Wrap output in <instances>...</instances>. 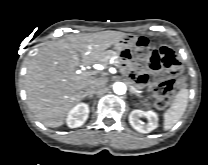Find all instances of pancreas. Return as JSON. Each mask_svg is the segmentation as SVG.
<instances>
[{
	"label": "pancreas",
	"instance_id": "cf45deb5",
	"mask_svg": "<svg viewBox=\"0 0 208 165\" xmlns=\"http://www.w3.org/2000/svg\"><path fill=\"white\" fill-rule=\"evenodd\" d=\"M113 58V62L114 64H121L122 63V59L119 56V54L113 50H108L106 52H104V56L101 59V63L106 66L109 64V62L112 60Z\"/></svg>",
	"mask_w": 208,
	"mask_h": 165
}]
</instances>
